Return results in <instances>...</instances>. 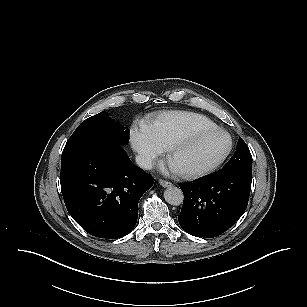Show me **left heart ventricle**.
I'll use <instances>...</instances> for the list:
<instances>
[{
	"instance_id": "obj_1",
	"label": "left heart ventricle",
	"mask_w": 307,
	"mask_h": 307,
	"mask_svg": "<svg viewBox=\"0 0 307 307\" xmlns=\"http://www.w3.org/2000/svg\"><path fill=\"white\" fill-rule=\"evenodd\" d=\"M228 144L226 135L214 134L172 155L169 161L177 171L204 167L216 161L226 151Z\"/></svg>"
}]
</instances>
